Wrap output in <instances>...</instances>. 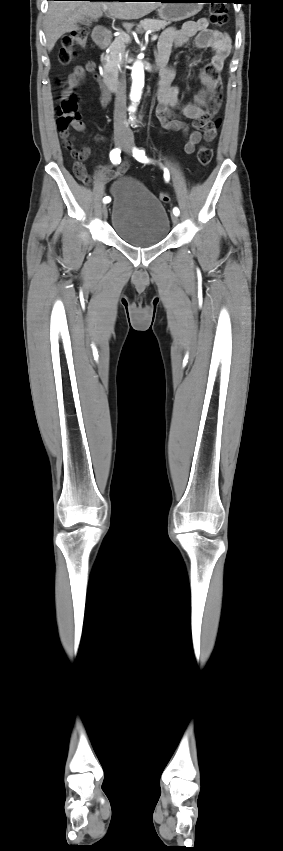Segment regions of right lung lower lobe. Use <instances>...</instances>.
I'll use <instances>...</instances> for the list:
<instances>
[{"instance_id": "right-lung-lower-lobe-1", "label": "right lung lower lobe", "mask_w": 283, "mask_h": 851, "mask_svg": "<svg viewBox=\"0 0 283 851\" xmlns=\"http://www.w3.org/2000/svg\"><path fill=\"white\" fill-rule=\"evenodd\" d=\"M89 1H95V0H89ZM103 1H132V0H103Z\"/></svg>"}]
</instances>
